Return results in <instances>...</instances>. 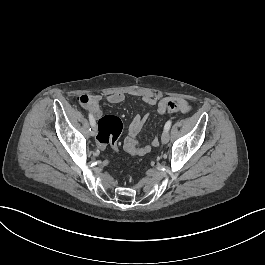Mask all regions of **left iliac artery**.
Returning a JSON list of instances; mask_svg holds the SVG:
<instances>
[{
    "label": "left iliac artery",
    "mask_w": 265,
    "mask_h": 265,
    "mask_svg": "<svg viewBox=\"0 0 265 265\" xmlns=\"http://www.w3.org/2000/svg\"><path fill=\"white\" fill-rule=\"evenodd\" d=\"M172 121L168 120L164 126V130L169 131L170 127H171Z\"/></svg>",
    "instance_id": "left-iliac-artery-1"
}]
</instances>
